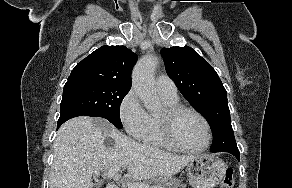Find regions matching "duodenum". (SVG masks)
Masks as SVG:
<instances>
[{"mask_svg": "<svg viewBox=\"0 0 292 188\" xmlns=\"http://www.w3.org/2000/svg\"><path fill=\"white\" fill-rule=\"evenodd\" d=\"M106 188H118L116 185H108Z\"/></svg>", "mask_w": 292, "mask_h": 188, "instance_id": "duodenum-1", "label": "duodenum"}]
</instances>
